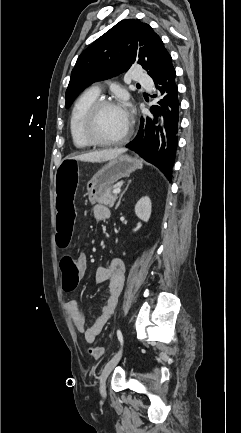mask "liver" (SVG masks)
<instances>
[{"label":"liver","mask_w":241,"mask_h":433,"mask_svg":"<svg viewBox=\"0 0 241 433\" xmlns=\"http://www.w3.org/2000/svg\"><path fill=\"white\" fill-rule=\"evenodd\" d=\"M126 152V149H109V150H102V151H95L90 152L74 157H70L69 159H75L78 161H84V162H105L108 160H112L116 158L118 155Z\"/></svg>","instance_id":"obj_1"}]
</instances>
